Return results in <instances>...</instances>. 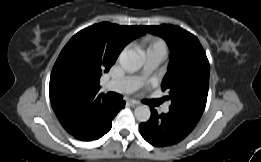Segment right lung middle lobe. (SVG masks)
I'll list each match as a JSON object with an SVG mask.
<instances>
[{
  "instance_id": "1",
  "label": "right lung middle lobe",
  "mask_w": 261,
  "mask_h": 162,
  "mask_svg": "<svg viewBox=\"0 0 261 162\" xmlns=\"http://www.w3.org/2000/svg\"><path fill=\"white\" fill-rule=\"evenodd\" d=\"M59 77L65 81H71L78 75L77 71L72 67H63L58 71Z\"/></svg>"
}]
</instances>
